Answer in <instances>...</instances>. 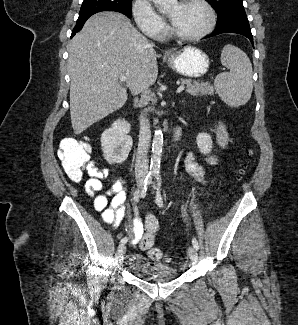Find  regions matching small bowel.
<instances>
[{
	"label": "small bowel",
	"mask_w": 298,
	"mask_h": 325,
	"mask_svg": "<svg viewBox=\"0 0 298 325\" xmlns=\"http://www.w3.org/2000/svg\"><path fill=\"white\" fill-rule=\"evenodd\" d=\"M216 137L219 146L226 147L229 142V135L225 125L218 122L216 125ZM207 161L215 165L217 158L213 155L207 156ZM186 170L195 179L204 182L205 174L192 155L186 159ZM89 176L85 181L84 188L86 193L93 199L95 211L102 214L105 223L113 227L119 226L126 214L127 188L123 179L111 178V171L108 168L95 167L89 171ZM105 181H109V188L102 194H97L105 189ZM128 232L132 236V243L137 244L143 235V224L140 218H133L128 225Z\"/></svg>",
	"instance_id": "c3829d8e"
}]
</instances>
